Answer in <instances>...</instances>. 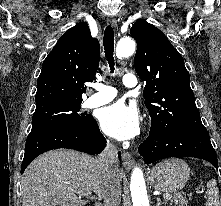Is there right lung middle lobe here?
I'll list each match as a JSON object with an SVG mask.
<instances>
[{
	"instance_id": "1",
	"label": "right lung middle lobe",
	"mask_w": 221,
	"mask_h": 206,
	"mask_svg": "<svg viewBox=\"0 0 221 206\" xmlns=\"http://www.w3.org/2000/svg\"><path fill=\"white\" fill-rule=\"evenodd\" d=\"M80 103H53L36 107L32 129L36 131L51 127H78L90 124L94 118L79 113Z\"/></svg>"
}]
</instances>
